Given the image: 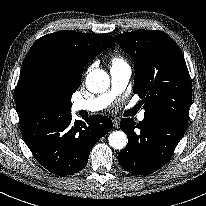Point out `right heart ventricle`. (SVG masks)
Here are the masks:
<instances>
[{"instance_id":"obj_1","label":"right heart ventricle","mask_w":206,"mask_h":206,"mask_svg":"<svg viewBox=\"0 0 206 206\" xmlns=\"http://www.w3.org/2000/svg\"><path fill=\"white\" fill-rule=\"evenodd\" d=\"M118 62H124V61H123V59L120 58V57H115V58H113V60H112V65H113V64H116V63H118Z\"/></svg>"}]
</instances>
